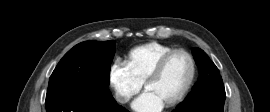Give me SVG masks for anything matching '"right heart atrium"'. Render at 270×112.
<instances>
[{
  "mask_svg": "<svg viewBox=\"0 0 270 112\" xmlns=\"http://www.w3.org/2000/svg\"><path fill=\"white\" fill-rule=\"evenodd\" d=\"M108 84L114 93L115 100L120 104H127L142 88V84L120 61H115L110 65Z\"/></svg>",
  "mask_w": 270,
  "mask_h": 112,
  "instance_id": "1",
  "label": "right heart atrium"
}]
</instances>
